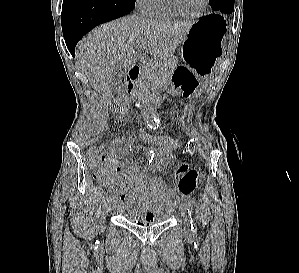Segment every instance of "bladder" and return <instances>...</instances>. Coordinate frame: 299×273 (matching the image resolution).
Instances as JSON below:
<instances>
[{"mask_svg": "<svg viewBox=\"0 0 299 273\" xmlns=\"http://www.w3.org/2000/svg\"><path fill=\"white\" fill-rule=\"evenodd\" d=\"M172 210L173 208L168 210H153L151 218H145L140 212L135 210H126L123 212V218L131 224L148 227L166 223L172 215Z\"/></svg>", "mask_w": 299, "mask_h": 273, "instance_id": "obj_1", "label": "bladder"}]
</instances>
